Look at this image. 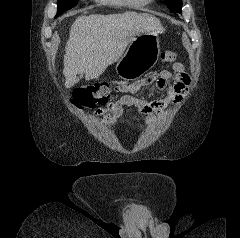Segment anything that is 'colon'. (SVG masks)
Listing matches in <instances>:
<instances>
[{
	"label": "colon",
	"instance_id": "1",
	"mask_svg": "<svg viewBox=\"0 0 240 238\" xmlns=\"http://www.w3.org/2000/svg\"><path fill=\"white\" fill-rule=\"evenodd\" d=\"M164 62H174L177 53L167 50L162 53ZM110 97L109 85L106 83H94L77 87L73 92V104L78 108H91L98 103H107Z\"/></svg>",
	"mask_w": 240,
	"mask_h": 238
}]
</instances>
